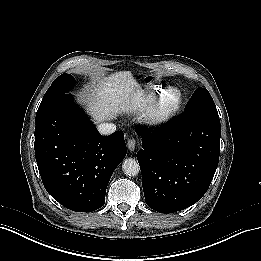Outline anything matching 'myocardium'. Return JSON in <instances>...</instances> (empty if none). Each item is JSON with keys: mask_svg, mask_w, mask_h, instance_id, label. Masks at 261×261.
Listing matches in <instances>:
<instances>
[{"mask_svg": "<svg viewBox=\"0 0 261 261\" xmlns=\"http://www.w3.org/2000/svg\"><path fill=\"white\" fill-rule=\"evenodd\" d=\"M170 94L171 91L155 99L142 114V122L152 126H157L167 121L171 116H173L180 107L181 98L180 96H176L172 100V104L170 106H166L165 102L168 100Z\"/></svg>", "mask_w": 261, "mask_h": 261, "instance_id": "obj_1", "label": "myocardium"}]
</instances>
